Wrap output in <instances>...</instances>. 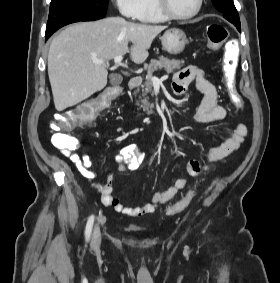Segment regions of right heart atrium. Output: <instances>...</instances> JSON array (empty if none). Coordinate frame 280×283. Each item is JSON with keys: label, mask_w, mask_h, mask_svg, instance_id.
I'll return each instance as SVG.
<instances>
[{"label": "right heart atrium", "mask_w": 280, "mask_h": 283, "mask_svg": "<svg viewBox=\"0 0 280 283\" xmlns=\"http://www.w3.org/2000/svg\"><path fill=\"white\" fill-rule=\"evenodd\" d=\"M120 14L129 20L139 19L143 11V0H114Z\"/></svg>", "instance_id": "obj_1"}]
</instances>
